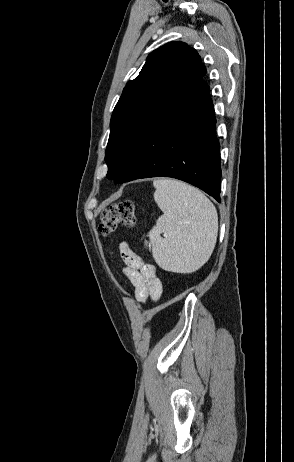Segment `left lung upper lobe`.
Instances as JSON below:
<instances>
[{
	"label": "left lung upper lobe",
	"mask_w": 294,
	"mask_h": 462,
	"mask_svg": "<svg viewBox=\"0 0 294 462\" xmlns=\"http://www.w3.org/2000/svg\"><path fill=\"white\" fill-rule=\"evenodd\" d=\"M205 74L200 56L186 43L169 42L149 54L140 74L127 83L113 110L105 153L107 178L117 175L155 111L170 104L188 83L202 80Z\"/></svg>",
	"instance_id": "1"
}]
</instances>
